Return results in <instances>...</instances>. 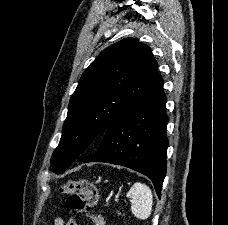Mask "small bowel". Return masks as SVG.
<instances>
[{"label": "small bowel", "instance_id": "1", "mask_svg": "<svg viewBox=\"0 0 228 225\" xmlns=\"http://www.w3.org/2000/svg\"><path fill=\"white\" fill-rule=\"evenodd\" d=\"M73 221L74 225H77V223L74 220H70L66 225H70V222ZM53 225H65L64 220L60 217H57L53 221Z\"/></svg>", "mask_w": 228, "mask_h": 225}]
</instances>
